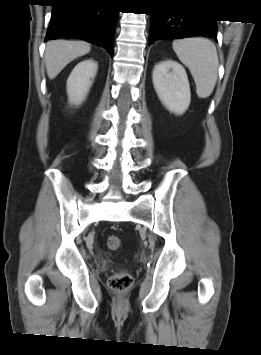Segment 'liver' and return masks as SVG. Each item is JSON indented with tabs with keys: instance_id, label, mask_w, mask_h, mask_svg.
Instances as JSON below:
<instances>
[{
	"instance_id": "liver-1",
	"label": "liver",
	"mask_w": 261,
	"mask_h": 355,
	"mask_svg": "<svg viewBox=\"0 0 261 355\" xmlns=\"http://www.w3.org/2000/svg\"><path fill=\"white\" fill-rule=\"evenodd\" d=\"M90 44L83 41L54 40L46 45L45 64L47 75L54 79L75 58L90 51Z\"/></svg>"
}]
</instances>
